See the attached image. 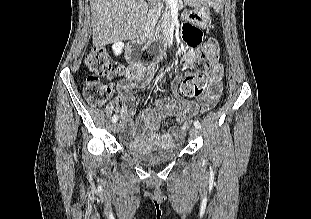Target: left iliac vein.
<instances>
[{
    "mask_svg": "<svg viewBox=\"0 0 311 219\" xmlns=\"http://www.w3.org/2000/svg\"><path fill=\"white\" fill-rule=\"evenodd\" d=\"M189 134H190L191 138H196L199 134L198 128L191 127L189 130Z\"/></svg>",
    "mask_w": 311,
    "mask_h": 219,
    "instance_id": "4c4485c4",
    "label": "left iliac vein"
}]
</instances>
